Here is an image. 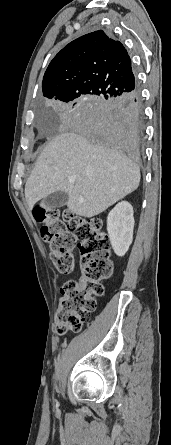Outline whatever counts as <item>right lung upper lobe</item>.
Wrapping results in <instances>:
<instances>
[{
    "mask_svg": "<svg viewBox=\"0 0 171 445\" xmlns=\"http://www.w3.org/2000/svg\"><path fill=\"white\" fill-rule=\"evenodd\" d=\"M42 89L45 97L55 100L76 92L118 98L134 92L137 84L124 46L98 30L57 53L44 74Z\"/></svg>",
    "mask_w": 171,
    "mask_h": 445,
    "instance_id": "obj_1",
    "label": "right lung upper lobe"
}]
</instances>
